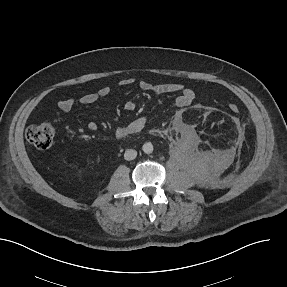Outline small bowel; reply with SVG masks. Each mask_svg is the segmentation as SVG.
Masks as SVG:
<instances>
[{"instance_id":"obj_1","label":"small bowel","mask_w":287,"mask_h":287,"mask_svg":"<svg viewBox=\"0 0 287 287\" xmlns=\"http://www.w3.org/2000/svg\"><path fill=\"white\" fill-rule=\"evenodd\" d=\"M133 82L134 80L132 78H125L121 80L118 85L120 87H125L131 85ZM139 87L144 91L152 92L155 94H176L175 105L180 108L190 105L195 99L194 90L186 87L181 82L153 84L151 82L142 80L139 82ZM110 92L111 89L109 87H102L97 92L86 93L82 95L78 100H75L74 98H66L58 102V108L62 112H68L77 102L82 104H91L100 98L108 96ZM125 109L128 111L134 110L135 103L132 101H127L125 103ZM147 123V117L140 116L127 125H119L115 127L114 135L115 137L122 139L129 135L137 134L145 129ZM88 129L90 131H95L97 129V124L95 122H89Z\"/></svg>"}]
</instances>
